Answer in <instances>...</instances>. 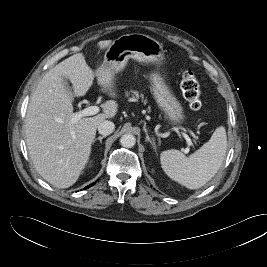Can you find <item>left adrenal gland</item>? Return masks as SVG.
I'll list each match as a JSON object with an SVG mask.
<instances>
[{
	"label": "left adrenal gland",
	"mask_w": 267,
	"mask_h": 267,
	"mask_svg": "<svg viewBox=\"0 0 267 267\" xmlns=\"http://www.w3.org/2000/svg\"><path fill=\"white\" fill-rule=\"evenodd\" d=\"M143 130H144V132H145V134H146V141L149 142V143L152 145L153 149L156 151V146H155L154 139H153V138L151 139V138L149 137V135H148V131H147V129H146L145 127H143Z\"/></svg>",
	"instance_id": "left-adrenal-gland-1"
}]
</instances>
